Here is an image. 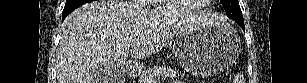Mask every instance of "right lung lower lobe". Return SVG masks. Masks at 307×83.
Segmentation results:
<instances>
[{"label": "right lung lower lobe", "mask_w": 307, "mask_h": 83, "mask_svg": "<svg viewBox=\"0 0 307 83\" xmlns=\"http://www.w3.org/2000/svg\"><path fill=\"white\" fill-rule=\"evenodd\" d=\"M91 2L90 0H72L68 3H66L64 10H63V14H62V21L66 18L67 15H69L74 9H76L77 7L85 4V3H89Z\"/></svg>", "instance_id": "right-lung-lower-lobe-1"}]
</instances>
